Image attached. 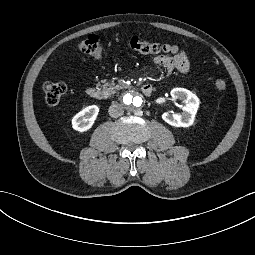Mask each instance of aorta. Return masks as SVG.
Wrapping results in <instances>:
<instances>
[{
  "mask_svg": "<svg viewBox=\"0 0 255 255\" xmlns=\"http://www.w3.org/2000/svg\"><path fill=\"white\" fill-rule=\"evenodd\" d=\"M123 102L126 107L136 110L144 105V98L138 92L130 91L123 96Z\"/></svg>",
  "mask_w": 255,
  "mask_h": 255,
  "instance_id": "aorta-1",
  "label": "aorta"
}]
</instances>
